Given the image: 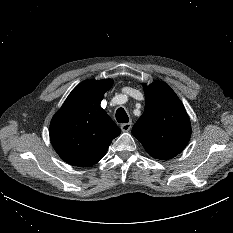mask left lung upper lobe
Listing matches in <instances>:
<instances>
[{
  "label": "left lung upper lobe",
  "instance_id": "obj_1",
  "mask_svg": "<svg viewBox=\"0 0 233 233\" xmlns=\"http://www.w3.org/2000/svg\"><path fill=\"white\" fill-rule=\"evenodd\" d=\"M145 110L132 134L152 157L166 160L179 154L191 136V124L186 110L164 82L156 81L144 88Z\"/></svg>",
  "mask_w": 233,
  "mask_h": 233
}]
</instances>
